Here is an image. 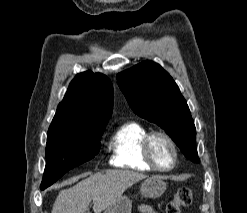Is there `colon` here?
<instances>
[{"label": "colon", "instance_id": "1", "mask_svg": "<svg viewBox=\"0 0 247 213\" xmlns=\"http://www.w3.org/2000/svg\"><path fill=\"white\" fill-rule=\"evenodd\" d=\"M193 201V196L188 188H181L169 201L166 207V213H182Z\"/></svg>", "mask_w": 247, "mask_h": 213}]
</instances>
